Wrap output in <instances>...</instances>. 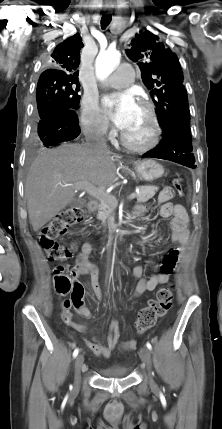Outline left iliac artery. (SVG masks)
<instances>
[{"label": "left iliac artery", "instance_id": "44dca946", "mask_svg": "<svg viewBox=\"0 0 222 429\" xmlns=\"http://www.w3.org/2000/svg\"><path fill=\"white\" fill-rule=\"evenodd\" d=\"M146 347H147L149 350H151V349H152V346H151V344H150L149 342H147V343H146Z\"/></svg>", "mask_w": 222, "mask_h": 429}]
</instances>
